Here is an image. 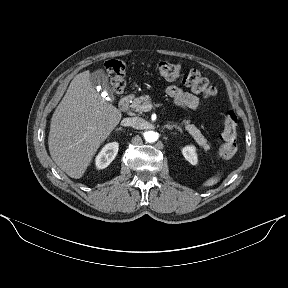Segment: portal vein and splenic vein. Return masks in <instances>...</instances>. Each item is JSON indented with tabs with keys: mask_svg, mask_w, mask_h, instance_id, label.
I'll return each instance as SVG.
<instances>
[{
	"mask_svg": "<svg viewBox=\"0 0 288 288\" xmlns=\"http://www.w3.org/2000/svg\"><path fill=\"white\" fill-rule=\"evenodd\" d=\"M152 108V104H148L146 106H144L145 111H149Z\"/></svg>",
	"mask_w": 288,
	"mask_h": 288,
	"instance_id": "portal-vein-and-splenic-vein-1",
	"label": "portal vein and splenic vein"
}]
</instances>
